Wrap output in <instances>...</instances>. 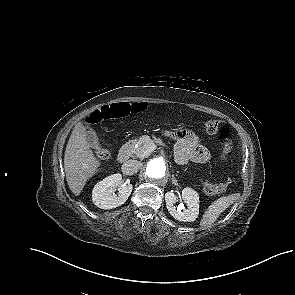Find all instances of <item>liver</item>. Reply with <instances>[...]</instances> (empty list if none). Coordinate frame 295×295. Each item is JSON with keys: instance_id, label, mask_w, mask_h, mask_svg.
Segmentation results:
<instances>
[{"instance_id": "1", "label": "liver", "mask_w": 295, "mask_h": 295, "mask_svg": "<svg viewBox=\"0 0 295 295\" xmlns=\"http://www.w3.org/2000/svg\"><path fill=\"white\" fill-rule=\"evenodd\" d=\"M101 163L94 156L87 141V135L81 127H76L68 141L64 169L70 190L80 195L87 180L100 172Z\"/></svg>"}]
</instances>
